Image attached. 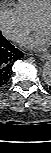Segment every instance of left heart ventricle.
Returning a JSON list of instances; mask_svg holds the SVG:
<instances>
[{"instance_id":"b2bd125f","label":"left heart ventricle","mask_w":51,"mask_h":153,"mask_svg":"<svg viewBox=\"0 0 51 153\" xmlns=\"http://www.w3.org/2000/svg\"><path fill=\"white\" fill-rule=\"evenodd\" d=\"M41 29L45 31L49 36H51V20H45L42 23Z\"/></svg>"}]
</instances>
